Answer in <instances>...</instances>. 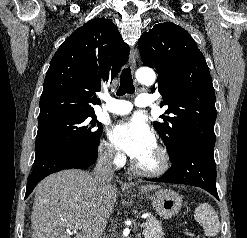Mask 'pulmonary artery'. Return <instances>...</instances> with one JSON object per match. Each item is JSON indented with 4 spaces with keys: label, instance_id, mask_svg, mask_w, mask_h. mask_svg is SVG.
<instances>
[{
    "label": "pulmonary artery",
    "instance_id": "pulmonary-artery-1",
    "mask_svg": "<svg viewBox=\"0 0 247 238\" xmlns=\"http://www.w3.org/2000/svg\"><path fill=\"white\" fill-rule=\"evenodd\" d=\"M104 100L106 101L104 110L112 114H127L133 108V104L127 100L114 99L108 95L104 96ZM152 104V97L148 94H140L135 100V106L137 107H148Z\"/></svg>",
    "mask_w": 247,
    "mask_h": 238
}]
</instances>
